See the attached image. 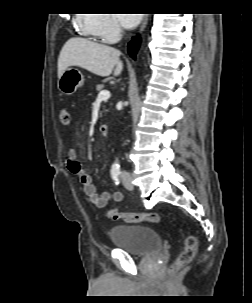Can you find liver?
<instances>
[{"mask_svg":"<svg viewBox=\"0 0 252 303\" xmlns=\"http://www.w3.org/2000/svg\"><path fill=\"white\" fill-rule=\"evenodd\" d=\"M120 54L108 45L81 37L71 38L64 44L58 58V78L70 66L81 67L102 77L109 76L114 70V76H118L123 70Z\"/></svg>","mask_w":252,"mask_h":303,"instance_id":"liver-1","label":"liver"}]
</instances>
